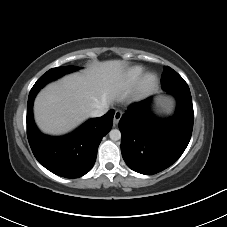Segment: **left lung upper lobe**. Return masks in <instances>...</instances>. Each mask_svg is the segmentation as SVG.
<instances>
[{
	"label": "left lung upper lobe",
	"instance_id": "5c2ea615",
	"mask_svg": "<svg viewBox=\"0 0 227 227\" xmlns=\"http://www.w3.org/2000/svg\"><path fill=\"white\" fill-rule=\"evenodd\" d=\"M162 88L168 90H189L187 83L184 79L172 68L164 67L163 76L161 79Z\"/></svg>",
	"mask_w": 227,
	"mask_h": 227
}]
</instances>
